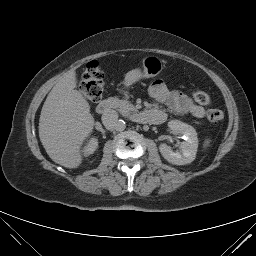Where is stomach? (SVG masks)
Listing matches in <instances>:
<instances>
[{
    "label": "stomach",
    "instance_id": "stomach-1",
    "mask_svg": "<svg viewBox=\"0 0 256 256\" xmlns=\"http://www.w3.org/2000/svg\"><path fill=\"white\" fill-rule=\"evenodd\" d=\"M143 69H134L129 71L124 78V86L130 87L143 78L157 76L163 69V62L157 56H147L143 59Z\"/></svg>",
    "mask_w": 256,
    "mask_h": 256
}]
</instances>
